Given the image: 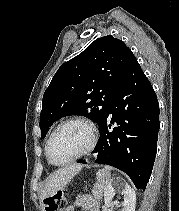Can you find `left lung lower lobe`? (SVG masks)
<instances>
[{
    "instance_id": "left-lung-lower-lobe-1",
    "label": "left lung lower lobe",
    "mask_w": 179,
    "mask_h": 211,
    "mask_svg": "<svg viewBox=\"0 0 179 211\" xmlns=\"http://www.w3.org/2000/svg\"><path fill=\"white\" fill-rule=\"evenodd\" d=\"M114 123L116 127L111 128ZM159 127L156 94L134 56L100 127L94 150L98 152L96 163L125 172L136 188L145 190L156 156ZM79 162L86 164L84 160Z\"/></svg>"
}]
</instances>
